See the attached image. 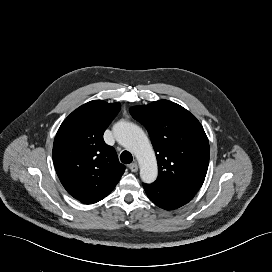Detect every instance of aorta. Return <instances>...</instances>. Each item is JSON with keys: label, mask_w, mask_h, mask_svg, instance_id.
I'll return each instance as SVG.
<instances>
[{"label": "aorta", "mask_w": 272, "mask_h": 272, "mask_svg": "<svg viewBox=\"0 0 272 272\" xmlns=\"http://www.w3.org/2000/svg\"><path fill=\"white\" fill-rule=\"evenodd\" d=\"M114 134L117 141L136 156L141 180L144 183H153L158 175L157 161L144 131L133 123L120 121L114 127Z\"/></svg>", "instance_id": "obj_1"}]
</instances>
